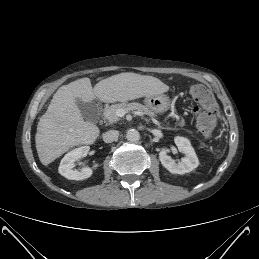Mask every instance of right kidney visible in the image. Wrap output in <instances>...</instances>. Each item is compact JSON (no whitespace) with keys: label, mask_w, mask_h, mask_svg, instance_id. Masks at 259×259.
<instances>
[{"label":"right kidney","mask_w":259,"mask_h":259,"mask_svg":"<svg viewBox=\"0 0 259 259\" xmlns=\"http://www.w3.org/2000/svg\"><path fill=\"white\" fill-rule=\"evenodd\" d=\"M89 149V146H82L68 152L60 162L59 173L70 180H84L89 178L93 174V169L98 167V164L95 163L92 168H82L80 171L73 169L75 167V161L87 156Z\"/></svg>","instance_id":"right-kidney-1"}]
</instances>
